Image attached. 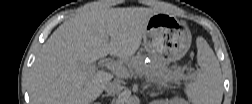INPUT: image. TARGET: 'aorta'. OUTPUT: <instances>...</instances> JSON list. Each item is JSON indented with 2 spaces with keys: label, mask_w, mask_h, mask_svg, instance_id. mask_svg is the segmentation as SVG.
Returning a JSON list of instances; mask_svg holds the SVG:
<instances>
[{
  "label": "aorta",
  "mask_w": 252,
  "mask_h": 104,
  "mask_svg": "<svg viewBox=\"0 0 252 104\" xmlns=\"http://www.w3.org/2000/svg\"><path fill=\"white\" fill-rule=\"evenodd\" d=\"M124 102L135 103V97H131L129 94L124 95Z\"/></svg>",
  "instance_id": "762f6f07"
}]
</instances>
